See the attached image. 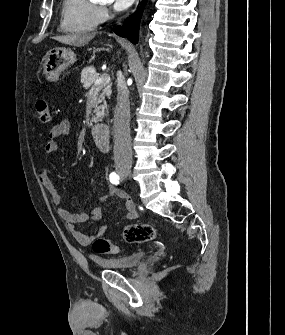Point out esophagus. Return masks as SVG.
I'll use <instances>...</instances> for the list:
<instances>
[{"label": "esophagus", "mask_w": 285, "mask_h": 335, "mask_svg": "<svg viewBox=\"0 0 285 335\" xmlns=\"http://www.w3.org/2000/svg\"><path fill=\"white\" fill-rule=\"evenodd\" d=\"M141 2H142V0H137L134 11L140 6Z\"/></svg>", "instance_id": "34e87169"}]
</instances>
